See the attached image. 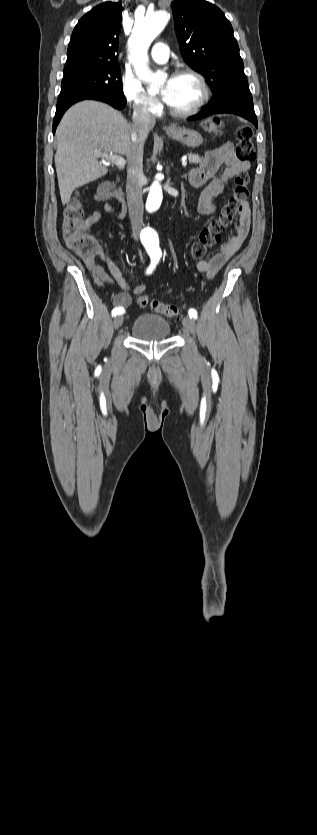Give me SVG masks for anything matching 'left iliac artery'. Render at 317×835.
I'll return each instance as SVG.
<instances>
[{
  "mask_svg": "<svg viewBox=\"0 0 317 835\" xmlns=\"http://www.w3.org/2000/svg\"><path fill=\"white\" fill-rule=\"evenodd\" d=\"M188 314H189L190 318H194V319L197 318V311L194 308L189 309Z\"/></svg>",
  "mask_w": 317,
  "mask_h": 835,
  "instance_id": "1",
  "label": "left iliac artery"
}]
</instances>
